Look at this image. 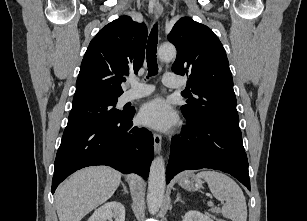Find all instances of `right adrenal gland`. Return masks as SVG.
<instances>
[{
  "mask_svg": "<svg viewBox=\"0 0 307 221\" xmlns=\"http://www.w3.org/2000/svg\"><path fill=\"white\" fill-rule=\"evenodd\" d=\"M122 186H123V191L125 192V193H128V189H127V187L122 183Z\"/></svg>",
  "mask_w": 307,
  "mask_h": 221,
  "instance_id": "right-adrenal-gland-1",
  "label": "right adrenal gland"
}]
</instances>
